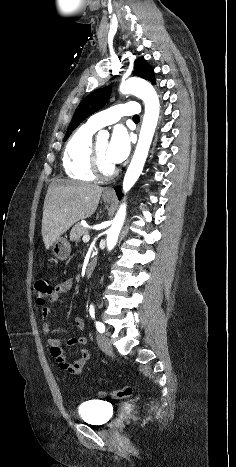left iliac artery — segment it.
Masks as SVG:
<instances>
[{
	"label": "left iliac artery",
	"mask_w": 236,
	"mask_h": 467,
	"mask_svg": "<svg viewBox=\"0 0 236 467\" xmlns=\"http://www.w3.org/2000/svg\"><path fill=\"white\" fill-rule=\"evenodd\" d=\"M89 313H90V316L92 317V319H95V309H94L93 305H90ZM95 326H96V329H97V331L99 333H104L105 332V326H104V324L102 322L95 321Z\"/></svg>",
	"instance_id": "44dca946"
}]
</instances>
